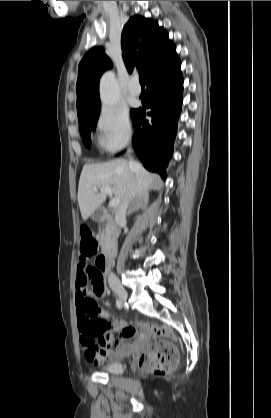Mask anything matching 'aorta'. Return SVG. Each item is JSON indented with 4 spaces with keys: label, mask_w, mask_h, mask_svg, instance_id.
Masks as SVG:
<instances>
[{
    "label": "aorta",
    "mask_w": 271,
    "mask_h": 418,
    "mask_svg": "<svg viewBox=\"0 0 271 418\" xmlns=\"http://www.w3.org/2000/svg\"><path fill=\"white\" fill-rule=\"evenodd\" d=\"M100 97L103 105L114 107L118 102L117 84L114 75L105 73L100 80Z\"/></svg>",
    "instance_id": "aorta-1"
}]
</instances>
